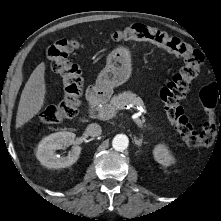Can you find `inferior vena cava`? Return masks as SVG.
Listing matches in <instances>:
<instances>
[{
  "label": "inferior vena cava",
  "instance_id": "inferior-vena-cava-1",
  "mask_svg": "<svg viewBox=\"0 0 221 221\" xmlns=\"http://www.w3.org/2000/svg\"><path fill=\"white\" fill-rule=\"evenodd\" d=\"M86 132L91 137H96L101 135L102 129L101 126L97 123H91L87 126Z\"/></svg>",
  "mask_w": 221,
  "mask_h": 221
}]
</instances>
